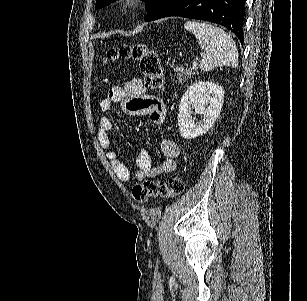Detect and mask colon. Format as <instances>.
I'll use <instances>...</instances> for the list:
<instances>
[{
  "mask_svg": "<svg viewBox=\"0 0 307 301\" xmlns=\"http://www.w3.org/2000/svg\"><path fill=\"white\" fill-rule=\"evenodd\" d=\"M117 59H133L139 62L144 82L151 89L160 88L164 82V74L158 54L145 43L125 44L107 51L104 61ZM185 189L184 178L171 176L168 181L144 180L132 189L133 199L145 204L151 198H174L180 196Z\"/></svg>",
  "mask_w": 307,
  "mask_h": 301,
  "instance_id": "colon-1",
  "label": "colon"
}]
</instances>
